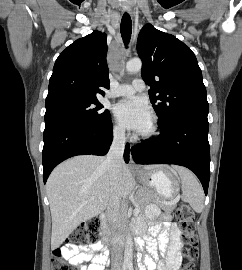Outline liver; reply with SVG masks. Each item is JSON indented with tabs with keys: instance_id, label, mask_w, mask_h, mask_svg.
Instances as JSON below:
<instances>
[{
	"instance_id": "obj_1",
	"label": "liver",
	"mask_w": 242,
	"mask_h": 270,
	"mask_svg": "<svg viewBox=\"0 0 242 270\" xmlns=\"http://www.w3.org/2000/svg\"><path fill=\"white\" fill-rule=\"evenodd\" d=\"M104 161L100 156H76L58 165L50 174L46 190L52 216V249L58 248L82 222L108 207L114 186ZM155 167L146 165L144 169ZM135 185L129 167L123 163L121 198L128 197Z\"/></svg>"
}]
</instances>
